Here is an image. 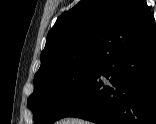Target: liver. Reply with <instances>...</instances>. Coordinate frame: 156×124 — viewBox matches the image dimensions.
<instances>
[{"label":"liver","mask_w":156,"mask_h":124,"mask_svg":"<svg viewBox=\"0 0 156 124\" xmlns=\"http://www.w3.org/2000/svg\"><path fill=\"white\" fill-rule=\"evenodd\" d=\"M57 124H92V123L78 118H66L58 121Z\"/></svg>","instance_id":"liver-1"}]
</instances>
